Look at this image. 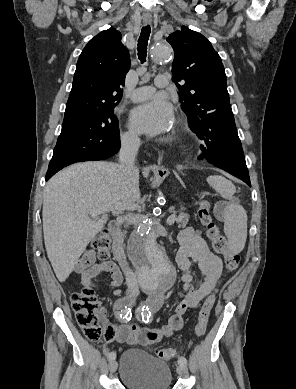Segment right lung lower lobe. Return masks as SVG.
Returning <instances> with one entry per match:
<instances>
[{"mask_svg":"<svg viewBox=\"0 0 296 389\" xmlns=\"http://www.w3.org/2000/svg\"><path fill=\"white\" fill-rule=\"evenodd\" d=\"M120 148V147H119ZM119 148L118 149H116V150H113V151H111V152H109V153H107L106 154V158L105 159H107V158H109V157H111L112 155H114L115 153H117L118 152V150H119ZM100 160H104V159H100ZM91 161H94V160H91ZM60 169H62V168H48V171H47V173H46V180H48L50 177H52L56 172H58Z\"/></svg>","mask_w":296,"mask_h":389,"instance_id":"98d812e1","label":"right lung lower lobe"}]
</instances>
